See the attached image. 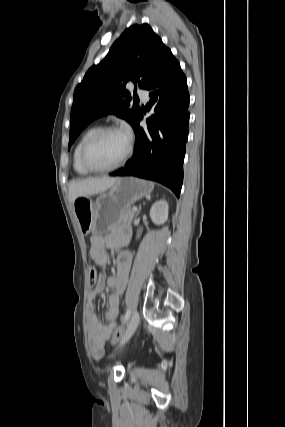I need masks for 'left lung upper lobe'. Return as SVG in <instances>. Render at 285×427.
I'll return each instance as SVG.
<instances>
[{
  "label": "left lung upper lobe",
  "instance_id": "5c2ea615",
  "mask_svg": "<svg viewBox=\"0 0 285 427\" xmlns=\"http://www.w3.org/2000/svg\"><path fill=\"white\" fill-rule=\"evenodd\" d=\"M171 51L148 24L132 25L114 42L107 56L92 66L74 91L69 148L94 119L113 113L133 127L141 115L130 107L128 82L146 89Z\"/></svg>",
  "mask_w": 285,
  "mask_h": 427
}]
</instances>
